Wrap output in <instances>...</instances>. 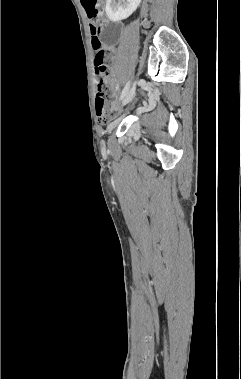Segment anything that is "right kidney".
<instances>
[{"label": "right kidney", "mask_w": 241, "mask_h": 379, "mask_svg": "<svg viewBox=\"0 0 241 379\" xmlns=\"http://www.w3.org/2000/svg\"><path fill=\"white\" fill-rule=\"evenodd\" d=\"M141 0H107L105 11L112 22H118L128 18L140 5Z\"/></svg>", "instance_id": "right-kidney-1"}]
</instances>
